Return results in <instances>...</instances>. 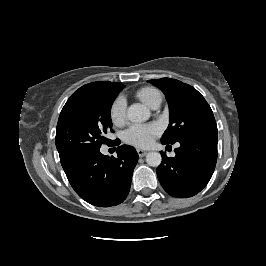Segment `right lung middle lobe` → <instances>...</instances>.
I'll list each match as a JSON object with an SVG mask.
<instances>
[{"label":"right lung middle lobe","instance_id":"right-lung-middle-lobe-1","mask_svg":"<svg viewBox=\"0 0 266 266\" xmlns=\"http://www.w3.org/2000/svg\"><path fill=\"white\" fill-rule=\"evenodd\" d=\"M124 86L104 89L62 112L56 130L61 164L76 163L112 140L104 135L112 126L110 110Z\"/></svg>","mask_w":266,"mask_h":266}]
</instances>
